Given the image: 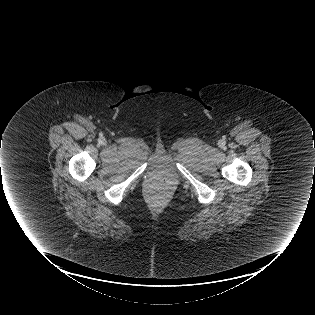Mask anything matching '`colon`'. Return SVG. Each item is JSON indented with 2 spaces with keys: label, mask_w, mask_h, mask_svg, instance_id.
I'll list each match as a JSON object with an SVG mask.
<instances>
[{
  "label": "colon",
  "mask_w": 315,
  "mask_h": 315,
  "mask_svg": "<svg viewBox=\"0 0 315 315\" xmlns=\"http://www.w3.org/2000/svg\"><path fill=\"white\" fill-rule=\"evenodd\" d=\"M160 193H161L160 191H157V192H156L157 195H159Z\"/></svg>",
  "instance_id": "5ec220e1"
}]
</instances>
